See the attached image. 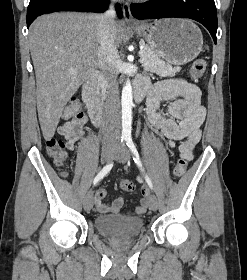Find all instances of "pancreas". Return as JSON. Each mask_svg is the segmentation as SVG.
<instances>
[{
  "label": "pancreas",
  "mask_w": 247,
  "mask_h": 280,
  "mask_svg": "<svg viewBox=\"0 0 247 280\" xmlns=\"http://www.w3.org/2000/svg\"><path fill=\"white\" fill-rule=\"evenodd\" d=\"M142 45V54L145 59L142 66L145 71L155 73L161 77H172L181 70L180 67H172L170 64L161 60L148 45L143 43Z\"/></svg>",
  "instance_id": "1"
}]
</instances>
